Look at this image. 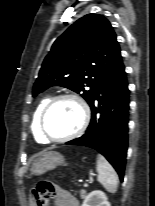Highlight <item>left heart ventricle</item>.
<instances>
[{
    "label": "left heart ventricle",
    "mask_w": 155,
    "mask_h": 206,
    "mask_svg": "<svg viewBox=\"0 0 155 206\" xmlns=\"http://www.w3.org/2000/svg\"><path fill=\"white\" fill-rule=\"evenodd\" d=\"M81 123V111L73 100H61L49 110L45 118V130L54 138L74 132Z\"/></svg>",
    "instance_id": "b2bd125f"
}]
</instances>
